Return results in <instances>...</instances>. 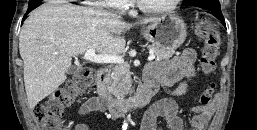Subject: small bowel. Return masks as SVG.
Wrapping results in <instances>:
<instances>
[{
  "label": "small bowel",
  "instance_id": "obj_1",
  "mask_svg": "<svg viewBox=\"0 0 257 130\" xmlns=\"http://www.w3.org/2000/svg\"><path fill=\"white\" fill-rule=\"evenodd\" d=\"M195 52L192 49L185 50L181 55L171 60L162 61L150 66L145 72V80L157 81L166 92L173 96L183 95L186 92L187 84L185 80L195 74L194 69ZM179 83L176 88L175 84ZM99 97H92L86 100L78 109L79 116H85L93 111H103ZM194 113L189 124L192 130H204L208 125L214 106H196L192 108ZM164 118L169 130H185L183 119L180 116L178 105L172 98L163 99L155 103L145 114L141 130H161L157 121ZM75 130H88L84 124H78Z\"/></svg>",
  "mask_w": 257,
  "mask_h": 130
}]
</instances>
